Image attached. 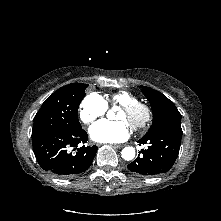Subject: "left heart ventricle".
<instances>
[{"instance_id": "1", "label": "left heart ventricle", "mask_w": 221, "mask_h": 221, "mask_svg": "<svg viewBox=\"0 0 221 221\" xmlns=\"http://www.w3.org/2000/svg\"><path fill=\"white\" fill-rule=\"evenodd\" d=\"M142 116V113L141 112H138L137 114L135 115H129L127 114L125 111H123L122 109H120V111L118 112L117 114V119L118 120H122V121H125L127 124H130L134 121H137L141 118Z\"/></svg>"}]
</instances>
